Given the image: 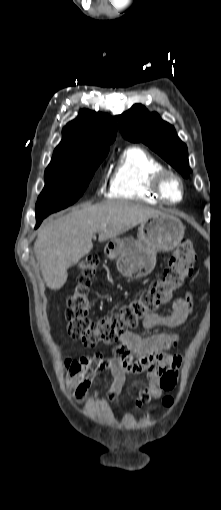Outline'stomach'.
<instances>
[{
    "instance_id": "obj_1",
    "label": "stomach",
    "mask_w": 221,
    "mask_h": 510,
    "mask_svg": "<svg viewBox=\"0 0 221 510\" xmlns=\"http://www.w3.org/2000/svg\"><path fill=\"white\" fill-rule=\"evenodd\" d=\"M185 227L169 213H160L142 222L138 239L113 238L105 246V254L116 259L119 273L130 279L147 276L154 269L157 252L173 250L183 239Z\"/></svg>"
}]
</instances>
